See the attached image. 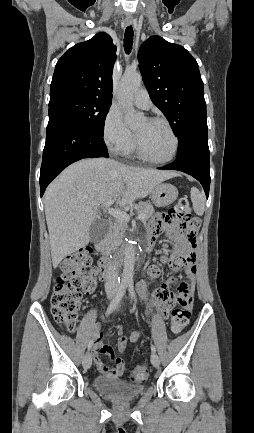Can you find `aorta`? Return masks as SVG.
<instances>
[{"instance_id":"1","label":"aorta","mask_w":254,"mask_h":433,"mask_svg":"<svg viewBox=\"0 0 254 433\" xmlns=\"http://www.w3.org/2000/svg\"><path fill=\"white\" fill-rule=\"evenodd\" d=\"M142 82L141 74L138 72H125L120 86L118 102L124 112V121L127 125L138 124L143 118V113L136 112L133 107V95L139 89ZM135 252L131 242L125 249L124 268L122 273L123 282H131L134 275Z\"/></svg>"}]
</instances>
